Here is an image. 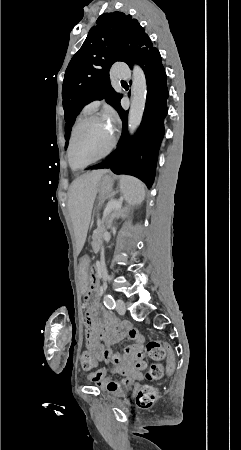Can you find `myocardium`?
I'll return each instance as SVG.
<instances>
[{
	"label": "myocardium",
	"mask_w": 241,
	"mask_h": 450,
	"mask_svg": "<svg viewBox=\"0 0 241 450\" xmlns=\"http://www.w3.org/2000/svg\"><path fill=\"white\" fill-rule=\"evenodd\" d=\"M73 127H78V122H73ZM76 135H78V130L73 129L71 132V138L69 141V144H67V149H69V157H66V162H71L72 161V157L75 156V153L73 152L74 146L76 144H80V140H78V138L76 137ZM118 132H112L111 133V139L107 141V144L110 145L109 153H114V149L118 148L117 144H114V142H117V137H118ZM73 141L75 142V144H73ZM108 152L103 153L104 157H108L109 156ZM92 162H100V160H91Z\"/></svg>",
	"instance_id": "myocardium-1"
}]
</instances>
